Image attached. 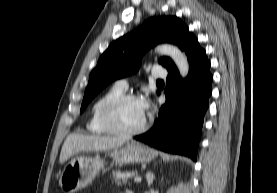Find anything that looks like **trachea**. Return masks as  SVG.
<instances>
[{"label":"trachea","mask_w":277,"mask_h":193,"mask_svg":"<svg viewBox=\"0 0 277 193\" xmlns=\"http://www.w3.org/2000/svg\"><path fill=\"white\" fill-rule=\"evenodd\" d=\"M157 82H158V83H163V81H162V80H158Z\"/></svg>","instance_id":"trachea-1"}]
</instances>
